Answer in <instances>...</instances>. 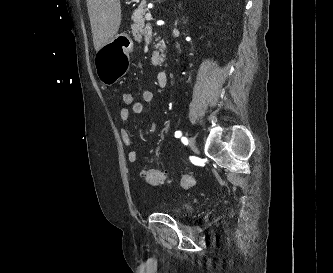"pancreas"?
Masks as SVG:
<instances>
[{
  "instance_id": "cf45deb5",
  "label": "pancreas",
  "mask_w": 333,
  "mask_h": 273,
  "mask_svg": "<svg viewBox=\"0 0 333 273\" xmlns=\"http://www.w3.org/2000/svg\"><path fill=\"white\" fill-rule=\"evenodd\" d=\"M147 11H148L147 4L141 3L132 15L133 24L131 25V29H132L133 35L137 36L138 39H141L142 36L146 35L148 30L150 29V25L145 26V24H144V21H145L144 16ZM158 40H159V38L156 39V41H158ZM158 47L160 48L161 54H159L158 51H154L153 57H152V64L154 66H160L165 58V55H164L165 46L162 41H160L159 43L156 44V48H158Z\"/></svg>"
}]
</instances>
